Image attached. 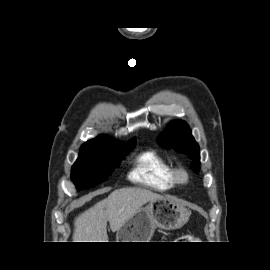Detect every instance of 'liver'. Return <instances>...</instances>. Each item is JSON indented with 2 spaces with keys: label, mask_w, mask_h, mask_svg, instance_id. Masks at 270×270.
Wrapping results in <instances>:
<instances>
[{
  "label": "liver",
  "mask_w": 270,
  "mask_h": 270,
  "mask_svg": "<svg viewBox=\"0 0 270 270\" xmlns=\"http://www.w3.org/2000/svg\"><path fill=\"white\" fill-rule=\"evenodd\" d=\"M162 195L137 187L114 190L74 221V242H108L107 221L112 232L127 223L144 204Z\"/></svg>",
  "instance_id": "obj_1"
}]
</instances>
